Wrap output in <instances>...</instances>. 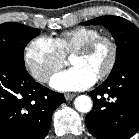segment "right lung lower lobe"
Segmentation results:
<instances>
[{
  "label": "right lung lower lobe",
  "mask_w": 139,
  "mask_h": 139,
  "mask_svg": "<svg viewBox=\"0 0 139 139\" xmlns=\"http://www.w3.org/2000/svg\"><path fill=\"white\" fill-rule=\"evenodd\" d=\"M66 100L37 83L25 64L0 58V139H43Z\"/></svg>",
  "instance_id": "98d812e1"
}]
</instances>
